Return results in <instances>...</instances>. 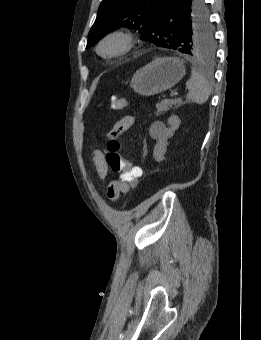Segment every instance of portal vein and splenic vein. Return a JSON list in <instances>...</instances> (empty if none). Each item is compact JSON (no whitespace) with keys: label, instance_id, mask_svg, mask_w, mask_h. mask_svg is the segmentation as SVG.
<instances>
[{"label":"portal vein and splenic vein","instance_id":"1","mask_svg":"<svg viewBox=\"0 0 261 340\" xmlns=\"http://www.w3.org/2000/svg\"><path fill=\"white\" fill-rule=\"evenodd\" d=\"M179 94L177 93V92H173L172 94H171V96L172 97H175V96H178Z\"/></svg>","mask_w":261,"mask_h":340}]
</instances>
